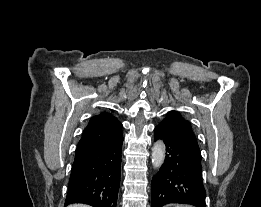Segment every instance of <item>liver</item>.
<instances>
[{
	"label": "liver",
	"instance_id": "1",
	"mask_svg": "<svg viewBox=\"0 0 261 207\" xmlns=\"http://www.w3.org/2000/svg\"><path fill=\"white\" fill-rule=\"evenodd\" d=\"M68 207H90V206H87V205H84V204H73V205H70Z\"/></svg>",
	"mask_w": 261,
	"mask_h": 207
}]
</instances>
